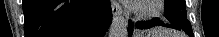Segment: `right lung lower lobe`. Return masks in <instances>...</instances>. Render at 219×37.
I'll use <instances>...</instances> for the list:
<instances>
[{
  "label": "right lung lower lobe",
  "instance_id": "1",
  "mask_svg": "<svg viewBox=\"0 0 219 37\" xmlns=\"http://www.w3.org/2000/svg\"><path fill=\"white\" fill-rule=\"evenodd\" d=\"M25 37H104L108 0H23Z\"/></svg>",
  "mask_w": 219,
  "mask_h": 37
}]
</instances>
